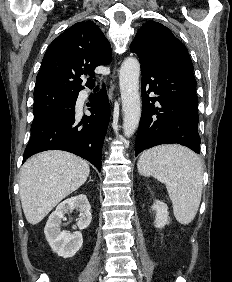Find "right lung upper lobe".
Instances as JSON below:
<instances>
[{
	"label": "right lung upper lobe",
	"instance_id": "cb5924a9",
	"mask_svg": "<svg viewBox=\"0 0 232 282\" xmlns=\"http://www.w3.org/2000/svg\"><path fill=\"white\" fill-rule=\"evenodd\" d=\"M112 60L111 46L92 21L78 22L52 41L42 60L35 91L55 90L78 95L84 89L83 74L94 76V69ZM87 87L94 81L88 79Z\"/></svg>",
	"mask_w": 232,
	"mask_h": 282
}]
</instances>
